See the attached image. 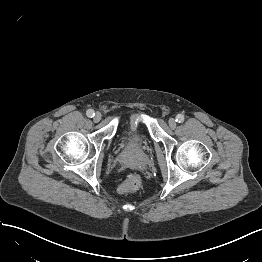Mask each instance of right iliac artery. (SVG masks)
Listing matches in <instances>:
<instances>
[{
  "label": "right iliac artery",
  "instance_id": "right-iliac-artery-1",
  "mask_svg": "<svg viewBox=\"0 0 262 262\" xmlns=\"http://www.w3.org/2000/svg\"><path fill=\"white\" fill-rule=\"evenodd\" d=\"M86 114H87V116L90 117V118L95 115L94 110H92V109L87 110Z\"/></svg>",
  "mask_w": 262,
  "mask_h": 262
}]
</instances>
